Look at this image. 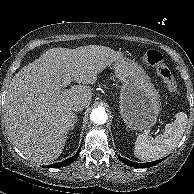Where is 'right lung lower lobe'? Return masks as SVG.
<instances>
[{"label": "right lung lower lobe", "mask_w": 194, "mask_h": 194, "mask_svg": "<svg viewBox=\"0 0 194 194\" xmlns=\"http://www.w3.org/2000/svg\"><path fill=\"white\" fill-rule=\"evenodd\" d=\"M79 152H80V149L78 150V152L74 156H72V157H70V158H68V159H66V160H64L62 162H59V163H56V164H52V165H48V166H45V167H48V168H60V167L67 166V165L71 164L72 162H74L78 158Z\"/></svg>", "instance_id": "98d812e1"}]
</instances>
